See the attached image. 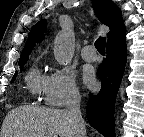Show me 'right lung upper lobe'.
I'll return each mask as SVG.
<instances>
[{
  "mask_svg": "<svg viewBox=\"0 0 144 137\" xmlns=\"http://www.w3.org/2000/svg\"><path fill=\"white\" fill-rule=\"evenodd\" d=\"M93 8L98 19L103 24L110 27L108 33L107 46L116 44L125 39V27L122 14L118 6L111 0H92ZM47 23L45 20L39 21L34 25L29 33L28 40L22 51L19 63L26 62L28 55L36 43L41 42L45 37Z\"/></svg>",
  "mask_w": 144,
  "mask_h": 137,
  "instance_id": "cb5924a9",
  "label": "right lung upper lobe"
}]
</instances>
